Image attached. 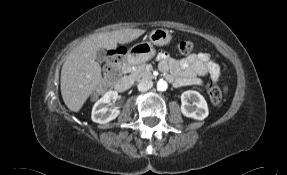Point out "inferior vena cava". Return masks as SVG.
<instances>
[{"label": "inferior vena cava", "mask_w": 287, "mask_h": 175, "mask_svg": "<svg viewBox=\"0 0 287 175\" xmlns=\"http://www.w3.org/2000/svg\"><path fill=\"white\" fill-rule=\"evenodd\" d=\"M153 86V82L152 80H143L138 84V90L141 92L147 91L149 89H151Z\"/></svg>", "instance_id": "1"}]
</instances>
